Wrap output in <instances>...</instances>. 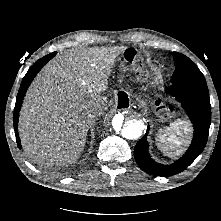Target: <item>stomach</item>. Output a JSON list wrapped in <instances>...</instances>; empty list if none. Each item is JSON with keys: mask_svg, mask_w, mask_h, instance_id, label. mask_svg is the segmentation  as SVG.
<instances>
[{"mask_svg": "<svg viewBox=\"0 0 221 221\" xmlns=\"http://www.w3.org/2000/svg\"><path fill=\"white\" fill-rule=\"evenodd\" d=\"M140 80L146 87L145 97L159 119H174L178 115V108L171 96H164L161 93V81L158 75L151 68H144L140 72Z\"/></svg>", "mask_w": 221, "mask_h": 221, "instance_id": "1", "label": "stomach"}]
</instances>
